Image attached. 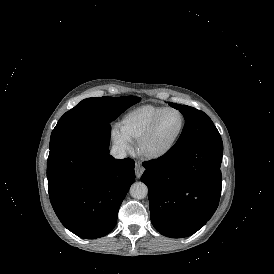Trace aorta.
Listing matches in <instances>:
<instances>
[{
    "label": "aorta",
    "instance_id": "1",
    "mask_svg": "<svg viewBox=\"0 0 274 274\" xmlns=\"http://www.w3.org/2000/svg\"><path fill=\"white\" fill-rule=\"evenodd\" d=\"M130 194L135 199H143L148 194V188L143 182H135L130 187Z\"/></svg>",
    "mask_w": 274,
    "mask_h": 274
}]
</instances>
